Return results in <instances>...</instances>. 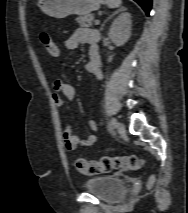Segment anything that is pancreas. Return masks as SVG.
<instances>
[{"mask_svg":"<svg viewBox=\"0 0 188 213\" xmlns=\"http://www.w3.org/2000/svg\"><path fill=\"white\" fill-rule=\"evenodd\" d=\"M77 23H79L80 26L87 27L92 25L94 22V15L93 14H88V15H82L79 16L76 19Z\"/></svg>","mask_w":188,"mask_h":213,"instance_id":"cf45deb5","label":"pancreas"}]
</instances>
